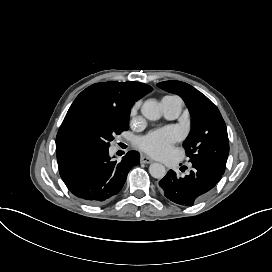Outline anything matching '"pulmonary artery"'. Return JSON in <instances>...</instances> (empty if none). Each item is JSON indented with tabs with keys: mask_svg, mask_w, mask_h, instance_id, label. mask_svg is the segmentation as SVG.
<instances>
[{
	"mask_svg": "<svg viewBox=\"0 0 272 272\" xmlns=\"http://www.w3.org/2000/svg\"><path fill=\"white\" fill-rule=\"evenodd\" d=\"M161 106L164 110V116L167 119H176L183 108V101L178 96H166L161 100ZM187 171L190 169L188 166L185 168Z\"/></svg>",
	"mask_w": 272,
	"mask_h": 272,
	"instance_id": "1",
	"label": "pulmonary artery"
}]
</instances>
